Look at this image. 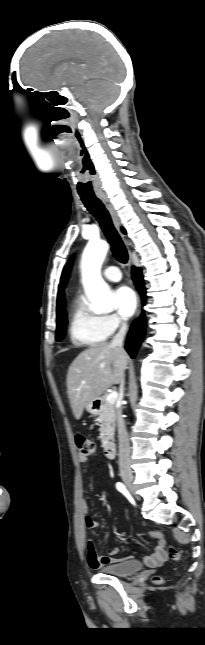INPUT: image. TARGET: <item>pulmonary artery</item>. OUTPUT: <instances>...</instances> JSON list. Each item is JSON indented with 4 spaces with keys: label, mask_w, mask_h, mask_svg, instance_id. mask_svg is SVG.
<instances>
[{
    "label": "pulmonary artery",
    "mask_w": 205,
    "mask_h": 645,
    "mask_svg": "<svg viewBox=\"0 0 205 645\" xmlns=\"http://www.w3.org/2000/svg\"><path fill=\"white\" fill-rule=\"evenodd\" d=\"M104 277L112 282H118L121 280L122 275L118 267L110 266L107 267L103 272Z\"/></svg>",
    "instance_id": "e3ab8cb5"
}]
</instances>
